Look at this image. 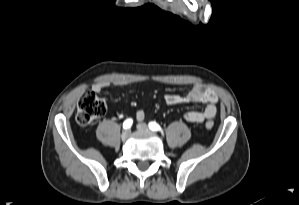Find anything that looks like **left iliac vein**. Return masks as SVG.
Masks as SVG:
<instances>
[{
    "label": "left iliac vein",
    "mask_w": 299,
    "mask_h": 205,
    "mask_svg": "<svg viewBox=\"0 0 299 205\" xmlns=\"http://www.w3.org/2000/svg\"><path fill=\"white\" fill-rule=\"evenodd\" d=\"M137 129L139 131H149V128H148V126L145 123H139L137 125Z\"/></svg>",
    "instance_id": "1"
}]
</instances>
